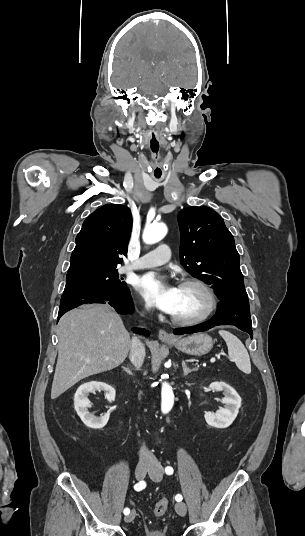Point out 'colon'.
<instances>
[{"instance_id":"5ec220e1","label":"colon","mask_w":305,"mask_h":536,"mask_svg":"<svg viewBox=\"0 0 305 536\" xmlns=\"http://www.w3.org/2000/svg\"><path fill=\"white\" fill-rule=\"evenodd\" d=\"M168 510V501L166 499H161L153 507V514L156 517L163 516Z\"/></svg>"}]
</instances>
